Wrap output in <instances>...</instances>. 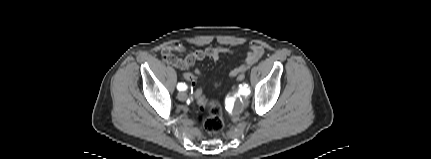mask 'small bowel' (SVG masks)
Returning <instances> with one entry per match:
<instances>
[{
    "mask_svg": "<svg viewBox=\"0 0 431 159\" xmlns=\"http://www.w3.org/2000/svg\"><path fill=\"white\" fill-rule=\"evenodd\" d=\"M185 52V47L181 44L167 45L162 49V58L164 62L181 70H187L192 67L197 61H201L206 57L218 60L222 54H229L231 50L226 47L216 46L198 49L188 53L185 57H179L177 54ZM264 54V48L260 45L253 44L249 47L244 62L231 70L230 75L237 77L239 72H246L247 69L255 64ZM192 73V72H191ZM197 77L199 71L194 73ZM202 91V89H201ZM203 96V92L202 95Z\"/></svg>",
    "mask_w": 431,
    "mask_h": 159,
    "instance_id": "1",
    "label": "small bowel"
}]
</instances>
